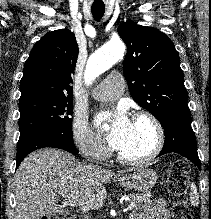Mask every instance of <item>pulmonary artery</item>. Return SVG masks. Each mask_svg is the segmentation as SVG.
<instances>
[{
	"mask_svg": "<svg viewBox=\"0 0 211 219\" xmlns=\"http://www.w3.org/2000/svg\"><path fill=\"white\" fill-rule=\"evenodd\" d=\"M125 79L120 72L110 73L98 86L94 97L107 101L118 98L124 90Z\"/></svg>",
	"mask_w": 211,
	"mask_h": 219,
	"instance_id": "pulmonary-artery-1",
	"label": "pulmonary artery"
}]
</instances>
